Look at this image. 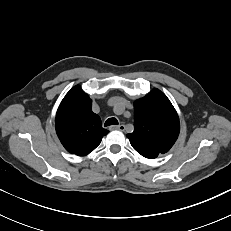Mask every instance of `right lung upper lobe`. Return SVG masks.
<instances>
[{
  "mask_svg": "<svg viewBox=\"0 0 231 231\" xmlns=\"http://www.w3.org/2000/svg\"><path fill=\"white\" fill-rule=\"evenodd\" d=\"M56 132L65 149L78 156L92 152L108 130L92 112V101L79 85L62 100L56 115Z\"/></svg>",
  "mask_w": 231,
  "mask_h": 231,
  "instance_id": "cb5924a9",
  "label": "right lung upper lobe"
}]
</instances>
